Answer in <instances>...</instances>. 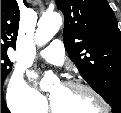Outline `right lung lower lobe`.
Returning <instances> with one entry per match:
<instances>
[{"instance_id":"right-lung-lower-lobe-1","label":"right lung lower lobe","mask_w":121,"mask_h":113,"mask_svg":"<svg viewBox=\"0 0 121 113\" xmlns=\"http://www.w3.org/2000/svg\"><path fill=\"white\" fill-rule=\"evenodd\" d=\"M1 113H10L9 109L6 107L4 98L1 99Z\"/></svg>"}]
</instances>
